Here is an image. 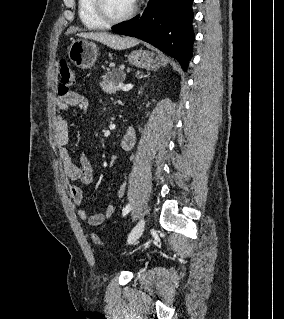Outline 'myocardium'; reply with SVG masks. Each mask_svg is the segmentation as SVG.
<instances>
[{
	"label": "myocardium",
	"mask_w": 284,
	"mask_h": 319,
	"mask_svg": "<svg viewBox=\"0 0 284 319\" xmlns=\"http://www.w3.org/2000/svg\"><path fill=\"white\" fill-rule=\"evenodd\" d=\"M93 6L97 16L108 25L123 23L136 12V1H133L131 9L127 13L119 17H113L108 13L105 0H93Z\"/></svg>",
	"instance_id": "1"
}]
</instances>
